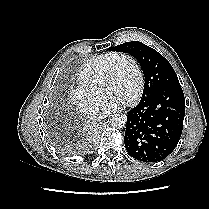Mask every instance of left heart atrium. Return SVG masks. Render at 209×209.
Returning <instances> with one entry per match:
<instances>
[{
	"instance_id": "left-heart-atrium-1",
	"label": "left heart atrium",
	"mask_w": 209,
	"mask_h": 209,
	"mask_svg": "<svg viewBox=\"0 0 209 209\" xmlns=\"http://www.w3.org/2000/svg\"><path fill=\"white\" fill-rule=\"evenodd\" d=\"M123 100L119 99V98H116V97H109L107 99V105L109 106H115V105H118L120 103H122Z\"/></svg>"
}]
</instances>
